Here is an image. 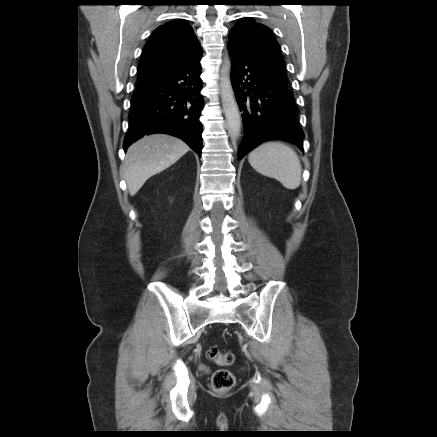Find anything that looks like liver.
Instances as JSON below:
<instances>
[{
  "mask_svg": "<svg viewBox=\"0 0 437 437\" xmlns=\"http://www.w3.org/2000/svg\"><path fill=\"white\" fill-rule=\"evenodd\" d=\"M188 151L185 142L167 134H152L134 142L123 165L130 195L134 196L150 177L176 163Z\"/></svg>",
  "mask_w": 437,
  "mask_h": 437,
  "instance_id": "liver-1",
  "label": "liver"
}]
</instances>
